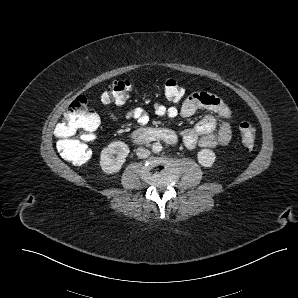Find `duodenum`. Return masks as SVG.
Instances as JSON below:
<instances>
[{
  "label": "duodenum",
  "mask_w": 298,
  "mask_h": 298,
  "mask_svg": "<svg viewBox=\"0 0 298 298\" xmlns=\"http://www.w3.org/2000/svg\"><path fill=\"white\" fill-rule=\"evenodd\" d=\"M132 140L139 144L162 141L168 144L177 142L176 134L168 129H140L132 133Z\"/></svg>",
  "instance_id": "duodenum-1"
}]
</instances>
